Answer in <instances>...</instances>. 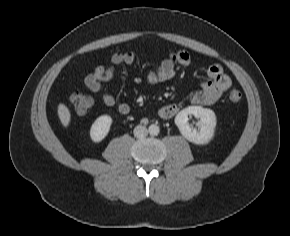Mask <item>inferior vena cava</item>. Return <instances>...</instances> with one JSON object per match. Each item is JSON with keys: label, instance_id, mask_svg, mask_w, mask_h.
<instances>
[{"label": "inferior vena cava", "instance_id": "obj_1", "mask_svg": "<svg viewBox=\"0 0 290 236\" xmlns=\"http://www.w3.org/2000/svg\"><path fill=\"white\" fill-rule=\"evenodd\" d=\"M148 130L145 126L138 125L134 128V136L137 138H143L147 135Z\"/></svg>", "mask_w": 290, "mask_h": 236}]
</instances>
